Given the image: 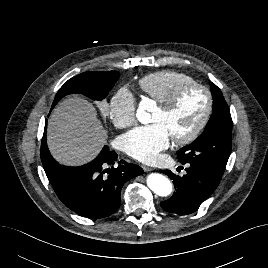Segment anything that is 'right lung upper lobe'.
Segmentation results:
<instances>
[{"mask_svg":"<svg viewBox=\"0 0 268 268\" xmlns=\"http://www.w3.org/2000/svg\"><path fill=\"white\" fill-rule=\"evenodd\" d=\"M41 160H42V164L45 169V172L50 175L51 179H55V174H56L55 167L57 163L50 155L49 150L47 148V143L44 140H42V145H41Z\"/></svg>","mask_w":268,"mask_h":268,"instance_id":"right-lung-upper-lobe-1","label":"right lung upper lobe"}]
</instances>
